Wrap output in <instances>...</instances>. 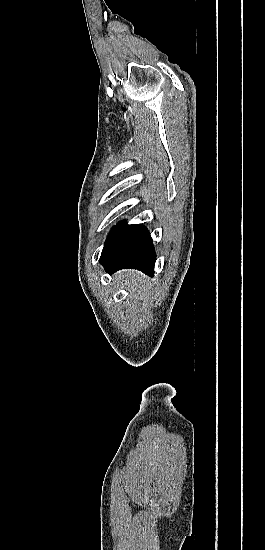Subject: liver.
<instances>
[{"label":"liver","instance_id":"obj_1","mask_svg":"<svg viewBox=\"0 0 265 550\" xmlns=\"http://www.w3.org/2000/svg\"><path fill=\"white\" fill-rule=\"evenodd\" d=\"M140 276H141V275H140L139 273L135 272V271H126V272H124V273L121 272V273H118V274H117V277H118V278L124 279V278L126 277V280L130 281L129 284H131V285H133V286H134L135 284H137V282H140V281H141V282H144V280H142V279L140 278Z\"/></svg>","mask_w":265,"mask_h":550}]
</instances>
